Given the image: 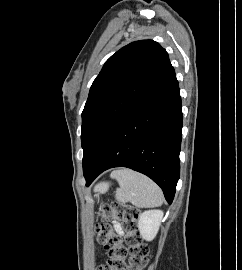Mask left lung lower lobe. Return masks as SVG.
<instances>
[{
    "label": "left lung lower lobe",
    "mask_w": 242,
    "mask_h": 270,
    "mask_svg": "<svg viewBox=\"0 0 242 270\" xmlns=\"http://www.w3.org/2000/svg\"><path fill=\"white\" fill-rule=\"evenodd\" d=\"M181 97L174 68L105 140L84 172L86 186L103 171L127 167L155 181L172 203L180 176Z\"/></svg>",
    "instance_id": "obj_1"
}]
</instances>
